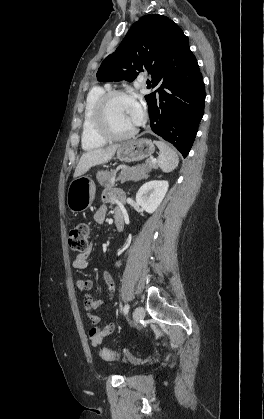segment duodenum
<instances>
[{
	"label": "duodenum",
	"mask_w": 264,
	"mask_h": 419,
	"mask_svg": "<svg viewBox=\"0 0 264 419\" xmlns=\"http://www.w3.org/2000/svg\"><path fill=\"white\" fill-rule=\"evenodd\" d=\"M115 226L117 230L121 231L124 228V219L123 216L118 214L115 216Z\"/></svg>",
	"instance_id": "1"
}]
</instances>
